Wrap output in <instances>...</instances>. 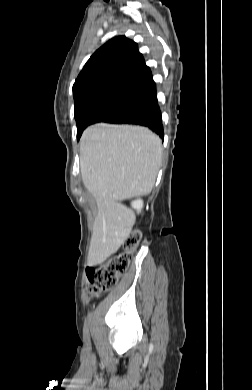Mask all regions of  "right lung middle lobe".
I'll return each mask as SVG.
<instances>
[{
    "label": "right lung middle lobe",
    "mask_w": 252,
    "mask_h": 390,
    "mask_svg": "<svg viewBox=\"0 0 252 390\" xmlns=\"http://www.w3.org/2000/svg\"><path fill=\"white\" fill-rule=\"evenodd\" d=\"M134 102L130 99L105 98L90 101L75 109L77 140H79L87 126L106 121L111 116L131 106Z\"/></svg>",
    "instance_id": "dd1d6c3e"
}]
</instances>
